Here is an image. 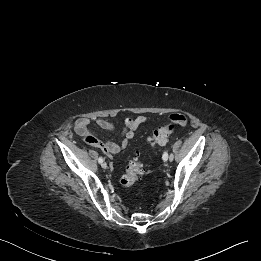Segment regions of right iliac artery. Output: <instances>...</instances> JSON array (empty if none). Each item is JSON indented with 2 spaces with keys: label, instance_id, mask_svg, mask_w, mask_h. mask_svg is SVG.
Returning <instances> with one entry per match:
<instances>
[{
  "label": "right iliac artery",
  "instance_id": "82829eb1",
  "mask_svg": "<svg viewBox=\"0 0 261 261\" xmlns=\"http://www.w3.org/2000/svg\"><path fill=\"white\" fill-rule=\"evenodd\" d=\"M98 162H99V163H102V162H103V158H102V157H99Z\"/></svg>",
  "mask_w": 261,
  "mask_h": 261
}]
</instances>
